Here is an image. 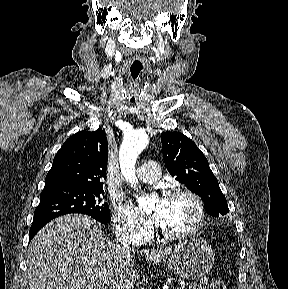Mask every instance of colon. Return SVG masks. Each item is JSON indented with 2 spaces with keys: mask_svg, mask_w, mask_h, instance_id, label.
Masks as SVG:
<instances>
[{
  "mask_svg": "<svg viewBox=\"0 0 288 289\" xmlns=\"http://www.w3.org/2000/svg\"><path fill=\"white\" fill-rule=\"evenodd\" d=\"M210 289H228V287L226 282L219 278L212 281Z\"/></svg>",
  "mask_w": 288,
  "mask_h": 289,
  "instance_id": "colon-1",
  "label": "colon"
}]
</instances>
